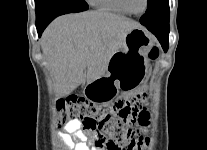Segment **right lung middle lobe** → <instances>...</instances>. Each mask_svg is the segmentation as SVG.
I'll return each instance as SVG.
<instances>
[{"label": "right lung middle lobe", "instance_id": "1", "mask_svg": "<svg viewBox=\"0 0 207 150\" xmlns=\"http://www.w3.org/2000/svg\"><path fill=\"white\" fill-rule=\"evenodd\" d=\"M89 8L83 0H35L36 20L70 12H81Z\"/></svg>", "mask_w": 207, "mask_h": 150}]
</instances>
